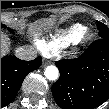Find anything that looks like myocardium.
Here are the masks:
<instances>
[{
    "label": "myocardium",
    "mask_w": 109,
    "mask_h": 109,
    "mask_svg": "<svg viewBox=\"0 0 109 109\" xmlns=\"http://www.w3.org/2000/svg\"><path fill=\"white\" fill-rule=\"evenodd\" d=\"M90 38H91V34H89V33L86 34L85 39L88 40V39H90Z\"/></svg>",
    "instance_id": "myocardium-1"
}]
</instances>
